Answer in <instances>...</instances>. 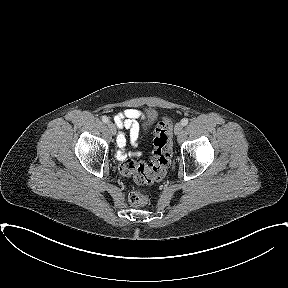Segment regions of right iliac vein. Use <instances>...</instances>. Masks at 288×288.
<instances>
[{"label": "right iliac vein", "mask_w": 288, "mask_h": 288, "mask_svg": "<svg viewBox=\"0 0 288 288\" xmlns=\"http://www.w3.org/2000/svg\"><path fill=\"white\" fill-rule=\"evenodd\" d=\"M108 128H109V130L111 131V133L113 135L116 134V127H115V125L112 122H108Z\"/></svg>", "instance_id": "right-iliac-vein-1"}]
</instances>
